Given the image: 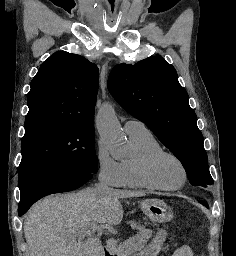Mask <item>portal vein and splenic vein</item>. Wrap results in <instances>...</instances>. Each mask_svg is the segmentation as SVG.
<instances>
[{
    "label": "portal vein and splenic vein",
    "instance_id": "18ae733b",
    "mask_svg": "<svg viewBox=\"0 0 236 256\" xmlns=\"http://www.w3.org/2000/svg\"><path fill=\"white\" fill-rule=\"evenodd\" d=\"M103 226H96V224H88V226H84L81 228L79 232V240H83L87 234H94V232H102Z\"/></svg>",
    "mask_w": 236,
    "mask_h": 256
}]
</instances>
